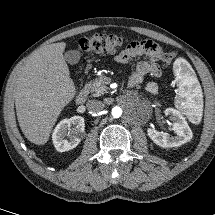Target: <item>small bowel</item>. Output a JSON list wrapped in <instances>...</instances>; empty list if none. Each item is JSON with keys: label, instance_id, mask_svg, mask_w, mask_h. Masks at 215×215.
Returning <instances> with one entry per match:
<instances>
[{"label": "small bowel", "instance_id": "c3829d8e", "mask_svg": "<svg viewBox=\"0 0 215 215\" xmlns=\"http://www.w3.org/2000/svg\"><path fill=\"white\" fill-rule=\"evenodd\" d=\"M142 56L147 57L148 61H140L137 63L129 80L130 86L141 84L146 75L158 78L162 74L159 65V61L162 57V50L151 40L133 41L123 52L115 56V61L120 64H125L132 58Z\"/></svg>", "mask_w": 215, "mask_h": 215}]
</instances>
